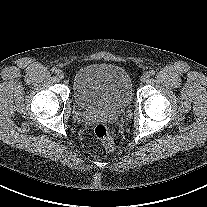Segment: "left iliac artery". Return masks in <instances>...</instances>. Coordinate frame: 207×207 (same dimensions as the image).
Returning a JSON list of instances; mask_svg holds the SVG:
<instances>
[{"label":"left iliac artery","mask_w":207,"mask_h":207,"mask_svg":"<svg viewBox=\"0 0 207 207\" xmlns=\"http://www.w3.org/2000/svg\"><path fill=\"white\" fill-rule=\"evenodd\" d=\"M148 73H149V76H153V75H155V71H154V70H151V71H149Z\"/></svg>","instance_id":"left-iliac-artery-1"}]
</instances>
